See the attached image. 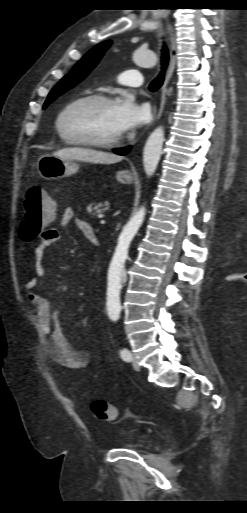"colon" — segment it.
Masks as SVG:
<instances>
[{
    "mask_svg": "<svg viewBox=\"0 0 247 513\" xmlns=\"http://www.w3.org/2000/svg\"><path fill=\"white\" fill-rule=\"evenodd\" d=\"M56 214L57 204L52 196L40 186L29 188L23 200V218L19 228L21 241L28 243L39 237L54 221ZM91 410L102 420L111 421L117 417V409L102 399L93 400Z\"/></svg>",
    "mask_w": 247,
    "mask_h": 513,
    "instance_id": "obj_1",
    "label": "colon"
}]
</instances>
